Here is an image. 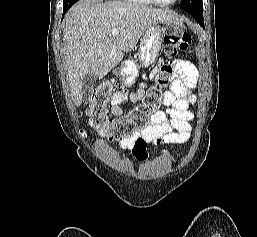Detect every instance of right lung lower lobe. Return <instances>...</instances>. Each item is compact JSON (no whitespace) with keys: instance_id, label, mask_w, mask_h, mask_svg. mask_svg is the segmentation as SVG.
I'll list each match as a JSON object with an SVG mask.
<instances>
[{"instance_id":"98d812e1","label":"right lung lower lobe","mask_w":257,"mask_h":237,"mask_svg":"<svg viewBox=\"0 0 257 237\" xmlns=\"http://www.w3.org/2000/svg\"><path fill=\"white\" fill-rule=\"evenodd\" d=\"M69 8H65L63 9V16L66 14V12L68 11Z\"/></svg>"}]
</instances>
